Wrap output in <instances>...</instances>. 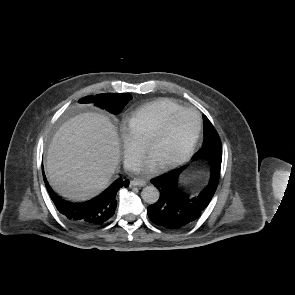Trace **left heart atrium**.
Listing matches in <instances>:
<instances>
[{"label":"left heart atrium","instance_id":"39dd6f15","mask_svg":"<svg viewBox=\"0 0 295 295\" xmlns=\"http://www.w3.org/2000/svg\"><path fill=\"white\" fill-rule=\"evenodd\" d=\"M158 167V164L156 163V161L149 157L145 163L142 165L141 169L145 170V171H153Z\"/></svg>","mask_w":295,"mask_h":295}]
</instances>
